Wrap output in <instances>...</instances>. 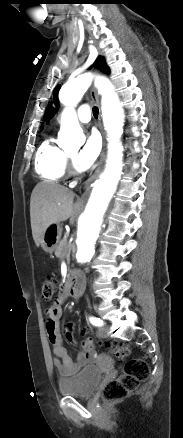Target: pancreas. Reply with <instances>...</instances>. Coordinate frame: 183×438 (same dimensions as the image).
<instances>
[{"mask_svg": "<svg viewBox=\"0 0 183 438\" xmlns=\"http://www.w3.org/2000/svg\"><path fill=\"white\" fill-rule=\"evenodd\" d=\"M55 255L60 260L66 258L67 262L69 263V261H70V250L68 249V243H67V241L65 239H62L59 242V244H58V246H57V248L55 250Z\"/></svg>", "mask_w": 183, "mask_h": 438, "instance_id": "obj_1", "label": "pancreas"}]
</instances>
